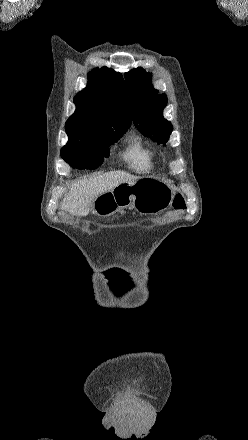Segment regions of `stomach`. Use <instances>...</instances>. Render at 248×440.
<instances>
[{"label":"stomach","instance_id":"obj_1","mask_svg":"<svg viewBox=\"0 0 248 440\" xmlns=\"http://www.w3.org/2000/svg\"><path fill=\"white\" fill-rule=\"evenodd\" d=\"M173 191L164 182L143 177L135 183H122L93 201L94 218H105L116 211L134 207L142 213H156L172 203Z\"/></svg>","mask_w":248,"mask_h":440}]
</instances>
